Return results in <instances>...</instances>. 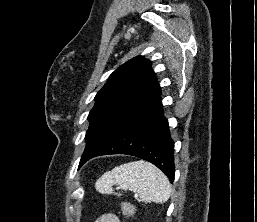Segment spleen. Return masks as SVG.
<instances>
[{"instance_id":"obj_1","label":"spleen","mask_w":257,"mask_h":222,"mask_svg":"<svg viewBox=\"0 0 257 222\" xmlns=\"http://www.w3.org/2000/svg\"><path fill=\"white\" fill-rule=\"evenodd\" d=\"M113 185L137 192V197L145 203L162 204L171 195L167 177L154 165L142 160L125 163L104 173L97 180L95 189L102 194H113Z\"/></svg>"}]
</instances>
